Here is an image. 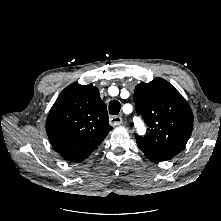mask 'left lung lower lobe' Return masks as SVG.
<instances>
[{
    "instance_id": "0a47b994",
    "label": "left lung lower lobe",
    "mask_w": 221,
    "mask_h": 221,
    "mask_svg": "<svg viewBox=\"0 0 221 221\" xmlns=\"http://www.w3.org/2000/svg\"><path fill=\"white\" fill-rule=\"evenodd\" d=\"M152 161H156V162H159V161H165V160H154V159H150Z\"/></svg>"
}]
</instances>
